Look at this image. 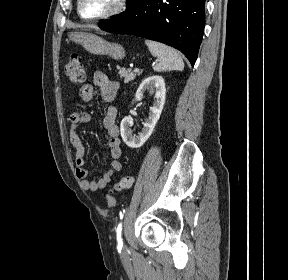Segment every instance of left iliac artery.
I'll return each instance as SVG.
<instances>
[{"instance_id": "44dca946", "label": "left iliac artery", "mask_w": 288, "mask_h": 280, "mask_svg": "<svg viewBox=\"0 0 288 280\" xmlns=\"http://www.w3.org/2000/svg\"><path fill=\"white\" fill-rule=\"evenodd\" d=\"M121 234H122V223H119L117 230H116L117 242H118L117 248L118 249H122V246H123Z\"/></svg>"}]
</instances>
